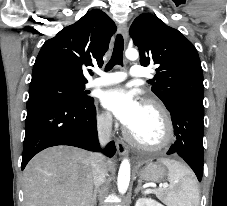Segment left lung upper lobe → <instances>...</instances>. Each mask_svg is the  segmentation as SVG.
<instances>
[{
	"label": "left lung upper lobe",
	"mask_w": 227,
	"mask_h": 206,
	"mask_svg": "<svg viewBox=\"0 0 227 206\" xmlns=\"http://www.w3.org/2000/svg\"><path fill=\"white\" fill-rule=\"evenodd\" d=\"M142 66L157 65L152 91L166 107L182 99L203 101V72L196 48L178 30L143 13L130 27Z\"/></svg>",
	"instance_id": "obj_1"
}]
</instances>
